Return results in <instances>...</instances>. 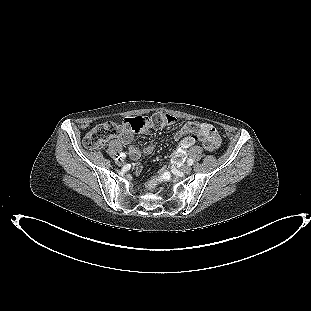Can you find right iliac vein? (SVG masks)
I'll use <instances>...</instances> for the list:
<instances>
[{
    "label": "right iliac vein",
    "instance_id": "1",
    "mask_svg": "<svg viewBox=\"0 0 311 311\" xmlns=\"http://www.w3.org/2000/svg\"><path fill=\"white\" fill-rule=\"evenodd\" d=\"M117 164H118L119 166H122V165L124 164V162H123V160H120V161H117Z\"/></svg>",
    "mask_w": 311,
    "mask_h": 311
}]
</instances>
